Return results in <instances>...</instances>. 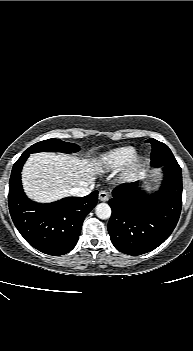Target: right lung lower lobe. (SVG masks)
<instances>
[{
	"mask_svg": "<svg viewBox=\"0 0 193 351\" xmlns=\"http://www.w3.org/2000/svg\"><path fill=\"white\" fill-rule=\"evenodd\" d=\"M28 157L22 154L12 169L8 195L12 220L23 238L37 250L53 256L66 254L76 245L83 220L97 203L98 191L49 204L33 202L26 197L21 184V170Z\"/></svg>",
	"mask_w": 193,
	"mask_h": 351,
	"instance_id": "1",
	"label": "right lung lower lobe"
}]
</instances>
